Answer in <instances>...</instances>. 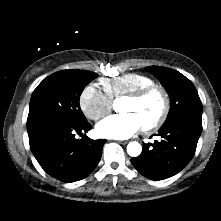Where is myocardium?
Segmentation results:
<instances>
[{"mask_svg": "<svg viewBox=\"0 0 221 221\" xmlns=\"http://www.w3.org/2000/svg\"><path fill=\"white\" fill-rule=\"evenodd\" d=\"M152 94H158L161 98L162 107L158 117L150 123L143 125L144 131H153L160 128L167 120L170 112V97L166 89L158 84H151L135 92L124 96V99L141 101Z\"/></svg>", "mask_w": 221, "mask_h": 221, "instance_id": "f54148a6", "label": "myocardium"}]
</instances>
